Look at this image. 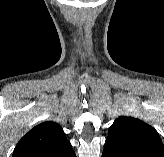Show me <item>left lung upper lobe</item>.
I'll list each match as a JSON object with an SVG mask.
<instances>
[{
  "label": "left lung upper lobe",
  "mask_w": 164,
  "mask_h": 157,
  "mask_svg": "<svg viewBox=\"0 0 164 157\" xmlns=\"http://www.w3.org/2000/svg\"><path fill=\"white\" fill-rule=\"evenodd\" d=\"M107 140L138 157H164V145L158 132L137 118L116 119L109 128Z\"/></svg>",
  "instance_id": "obj_1"
}]
</instances>
